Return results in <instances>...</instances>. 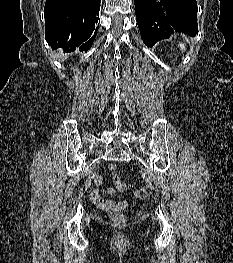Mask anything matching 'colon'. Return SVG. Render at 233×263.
<instances>
[{"instance_id":"obj_1","label":"colon","mask_w":233,"mask_h":263,"mask_svg":"<svg viewBox=\"0 0 233 263\" xmlns=\"http://www.w3.org/2000/svg\"><path fill=\"white\" fill-rule=\"evenodd\" d=\"M110 170L112 172H116L117 171V166L114 165V164L111 165L110 166ZM114 182H115L116 187H117V189L119 191L125 190L126 184L123 181H121L119 177L115 176L114 177ZM134 195H135V197H137L139 199H146L147 196H148V192L144 188H139V189L134 190ZM110 218H111L112 222L115 225H117V226L123 225L125 223V221H126L125 216L122 213H120V212H112L110 214Z\"/></svg>"}]
</instances>
